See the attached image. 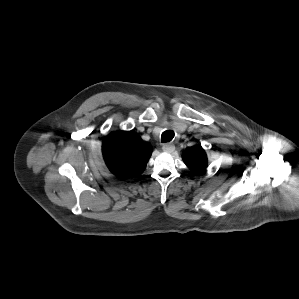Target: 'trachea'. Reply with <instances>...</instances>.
<instances>
[{
    "label": "trachea",
    "mask_w": 299,
    "mask_h": 299,
    "mask_svg": "<svg viewBox=\"0 0 299 299\" xmlns=\"http://www.w3.org/2000/svg\"><path fill=\"white\" fill-rule=\"evenodd\" d=\"M174 137V132L172 130H166L162 133L161 141L163 143L170 142Z\"/></svg>",
    "instance_id": "1"
}]
</instances>
